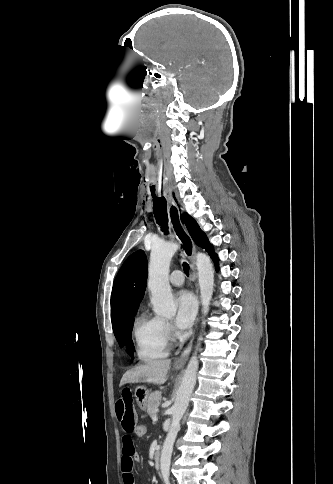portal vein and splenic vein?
<instances>
[{
    "label": "portal vein and splenic vein",
    "mask_w": 333,
    "mask_h": 484,
    "mask_svg": "<svg viewBox=\"0 0 333 484\" xmlns=\"http://www.w3.org/2000/svg\"><path fill=\"white\" fill-rule=\"evenodd\" d=\"M157 416L152 417V421H157Z\"/></svg>",
    "instance_id": "1"
}]
</instances>
